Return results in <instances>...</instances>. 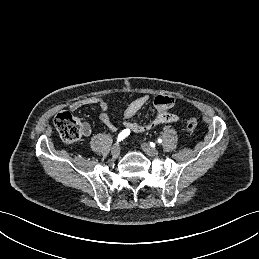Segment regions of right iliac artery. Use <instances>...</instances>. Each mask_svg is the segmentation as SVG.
<instances>
[{"label":"right iliac artery","instance_id":"82829eb1","mask_svg":"<svg viewBox=\"0 0 259 259\" xmlns=\"http://www.w3.org/2000/svg\"><path fill=\"white\" fill-rule=\"evenodd\" d=\"M130 134L129 129H124L119 135H118V141H121L125 139Z\"/></svg>","mask_w":259,"mask_h":259}]
</instances>
